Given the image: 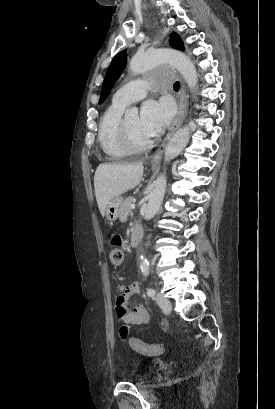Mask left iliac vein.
Segmentation results:
<instances>
[{"label":"left iliac vein","mask_w":275,"mask_h":409,"mask_svg":"<svg viewBox=\"0 0 275 409\" xmlns=\"http://www.w3.org/2000/svg\"><path fill=\"white\" fill-rule=\"evenodd\" d=\"M155 301L157 302L158 306L166 313L170 312L172 307L171 303L168 298L162 296L161 294H157L155 296Z\"/></svg>","instance_id":"4c4485c4"}]
</instances>
